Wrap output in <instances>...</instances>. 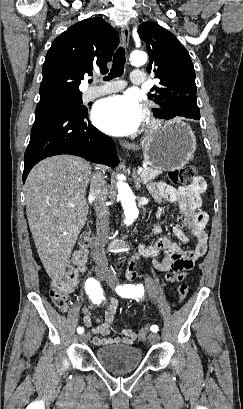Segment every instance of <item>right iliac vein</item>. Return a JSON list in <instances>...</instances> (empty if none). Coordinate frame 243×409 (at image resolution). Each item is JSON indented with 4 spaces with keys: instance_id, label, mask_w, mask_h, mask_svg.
I'll use <instances>...</instances> for the list:
<instances>
[{
    "instance_id": "right-iliac-vein-1",
    "label": "right iliac vein",
    "mask_w": 243,
    "mask_h": 409,
    "mask_svg": "<svg viewBox=\"0 0 243 409\" xmlns=\"http://www.w3.org/2000/svg\"><path fill=\"white\" fill-rule=\"evenodd\" d=\"M96 275H97V278L99 279V280H105L106 278H107V274L105 273V272H103V271H98L97 273H96ZM90 333H88V332H85V333H83L81 336H80V340L82 341V342H88L89 341V339H90Z\"/></svg>"
}]
</instances>
